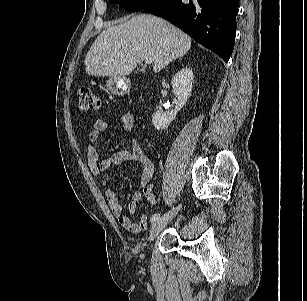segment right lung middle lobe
<instances>
[{"label":"right lung middle lobe","mask_w":307,"mask_h":301,"mask_svg":"<svg viewBox=\"0 0 307 301\" xmlns=\"http://www.w3.org/2000/svg\"><path fill=\"white\" fill-rule=\"evenodd\" d=\"M158 0H110L111 3H118L128 11H140Z\"/></svg>","instance_id":"obj_1"}]
</instances>
